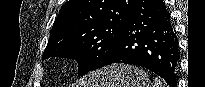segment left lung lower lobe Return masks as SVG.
<instances>
[{
    "instance_id": "left-lung-lower-lobe-1",
    "label": "left lung lower lobe",
    "mask_w": 205,
    "mask_h": 87,
    "mask_svg": "<svg viewBox=\"0 0 205 87\" xmlns=\"http://www.w3.org/2000/svg\"><path fill=\"white\" fill-rule=\"evenodd\" d=\"M179 57L177 37L163 0H137L117 40L114 54L104 66L114 63L142 66L175 87Z\"/></svg>"
}]
</instances>
